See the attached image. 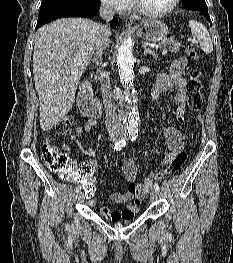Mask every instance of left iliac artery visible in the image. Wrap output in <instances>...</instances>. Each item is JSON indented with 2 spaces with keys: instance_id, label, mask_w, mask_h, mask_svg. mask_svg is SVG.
Masks as SVG:
<instances>
[{
  "instance_id": "44dca946",
  "label": "left iliac artery",
  "mask_w": 233,
  "mask_h": 263,
  "mask_svg": "<svg viewBox=\"0 0 233 263\" xmlns=\"http://www.w3.org/2000/svg\"><path fill=\"white\" fill-rule=\"evenodd\" d=\"M138 132L135 130H132L131 132H129V137L131 138V141H135L137 138ZM154 189L156 191H160V187L158 184H154Z\"/></svg>"
}]
</instances>
